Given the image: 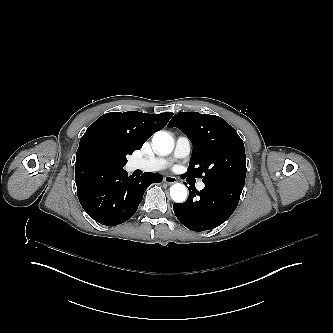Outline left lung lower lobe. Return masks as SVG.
Returning a JSON list of instances; mask_svg holds the SVG:
<instances>
[{
  "mask_svg": "<svg viewBox=\"0 0 333 333\" xmlns=\"http://www.w3.org/2000/svg\"><path fill=\"white\" fill-rule=\"evenodd\" d=\"M182 178L185 176L182 175ZM190 186L188 199L182 204H174L173 209L184 226L198 232L215 228L232 215L244 185L216 181L205 183L201 191Z\"/></svg>",
  "mask_w": 333,
  "mask_h": 333,
  "instance_id": "0a47b994",
  "label": "left lung lower lobe"
}]
</instances>
